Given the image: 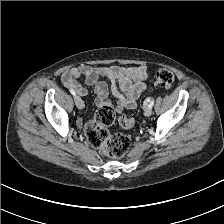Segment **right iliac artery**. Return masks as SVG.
I'll return each instance as SVG.
<instances>
[{"mask_svg":"<svg viewBox=\"0 0 224 224\" xmlns=\"http://www.w3.org/2000/svg\"><path fill=\"white\" fill-rule=\"evenodd\" d=\"M69 91H70V93H71L74 97L76 96V93H75L74 90L70 89Z\"/></svg>","mask_w":224,"mask_h":224,"instance_id":"1","label":"right iliac artery"}]
</instances>
